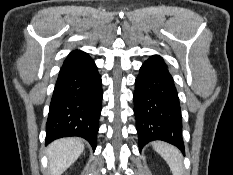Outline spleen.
Segmentation results:
<instances>
[{
    "label": "spleen",
    "instance_id": "obj_1",
    "mask_svg": "<svg viewBox=\"0 0 233 175\" xmlns=\"http://www.w3.org/2000/svg\"><path fill=\"white\" fill-rule=\"evenodd\" d=\"M153 148L167 162L173 175H183L182 154L177 148L164 142H153Z\"/></svg>",
    "mask_w": 233,
    "mask_h": 175
}]
</instances>
